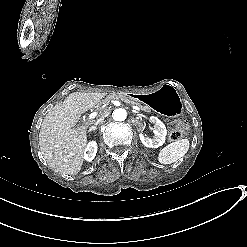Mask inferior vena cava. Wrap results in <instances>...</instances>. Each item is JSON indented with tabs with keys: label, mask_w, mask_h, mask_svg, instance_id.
Segmentation results:
<instances>
[{
	"label": "inferior vena cava",
	"mask_w": 247,
	"mask_h": 247,
	"mask_svg": "<svg viewBox=\"0 0 247 247\" xmlns=\"http://www.w3.org/2000/svg\"><path fill=\"white\" fill-rule=\"evenodd\" d=\"M105 116H101L97 121L94 123L95 125H98L99 123L103 122ZM91 128H96V126H92Z\"/></svg>",
	"instance_id": "1"
}]
</instances>
